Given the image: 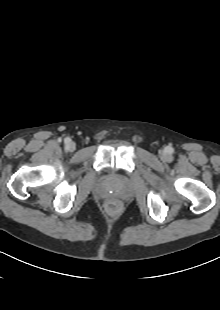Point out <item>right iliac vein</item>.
Listing matches in <instances>:
<instances>
[{"mask_svg": "<svg viewBox=\"0 0 220 310\" xmlns=\"http://www.w3.org/2000/svg\"><path fill=\"white\" fill-rule=\"evenodd\" d=\"M66 147L69 151L72 152L76 149V144L74 142L70 141L69 143H67Z\"/></svg>", "mask_w": 220, "mask_h": 310, "instance_id": "1", "label": "right iliac vein"}]
</instances>
